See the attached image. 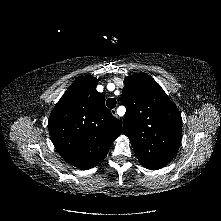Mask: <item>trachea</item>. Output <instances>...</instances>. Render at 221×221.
I'll return each instance as SVG.
<instances>
[{"label":"trachea","instance_id":"obj_1","mask_svg":"<svg viewBox=\"0 0 221 221\" xmlns=\"http://www.w3.org/2000/svg\"><path fill=\"white\" fill-rule=\"evenodd\" d=\"M106 105H107L108 108L113 109L116 106V100L114 98H109L106 101Z\"/></svg>","mask_w":221,"mask_h":221}]
</instances>
